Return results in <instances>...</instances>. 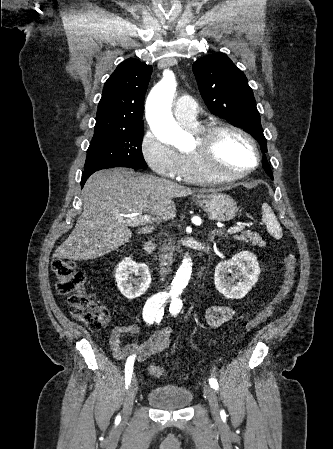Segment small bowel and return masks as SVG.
I'll return each mask as SVG.
<instances>
[{
	"label": "small bowel",
	"instance_id": "small-bowel-1",
	"mask_svg": "<svg viewBox=\"0 0 333 449\" xmlns=\"http://www.w3.org/2000/svg\"><path fill=\"white\" fill-rule=\"evenodd\" d=\"M233 314L234 310L231 307L215 305L207 310L205 319L209 326L216 327L230 320ZM138 331L139 327L136 324L116 326L111 330L108 344L114 358L124 360L135 356L137 360H142L165 351L171 344L169 329L154 332L141 344L123 341L125 335H134Z\"/></svg>",
	"mask_w": 333,
	"mask_h": 449
}]
</instances>
